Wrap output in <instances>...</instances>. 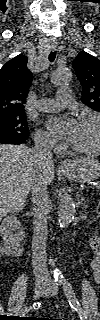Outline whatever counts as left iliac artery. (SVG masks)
<instances>
[{
  "instance_id": "left-iliac-artery-1",
  "label": "left iliac artery",
  "mask_w": 100,
  "mask_h": 320,
  "mask_svg": "<svg viewBox=\"0 0 100 320\" xmlns=\"http://www.w3.org/2000/svg\"><path fill=\"white\" fill-rule=\"evenodd\" d=\"M62 285L71 308L79 314L81 320H85L87 318L86 314L76 297L72 285L66 279L62 281Z\"/></svg>"
}]
</instances>
